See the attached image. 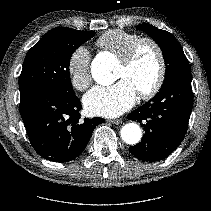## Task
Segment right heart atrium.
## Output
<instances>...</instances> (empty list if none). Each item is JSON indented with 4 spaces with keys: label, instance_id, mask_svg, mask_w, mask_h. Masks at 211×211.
<instances>
[{
    "label": "right heart atrium",
    "instance_id": "1",
    "mask_svg": "<svg viewBox=\"0 0 211 211\" xmlns=\"http://www.w3.org/2000/svg\"><path fill=\"white\" fill-rule=\"evenodd\" d=\"M90 60V52L83 45L75 48L68 58L67 72L72 86L79 91L88 88L92 82Z\"/></svg>",
    "mask_w": 211,
    "mask_h": 211
}]
</instances>
